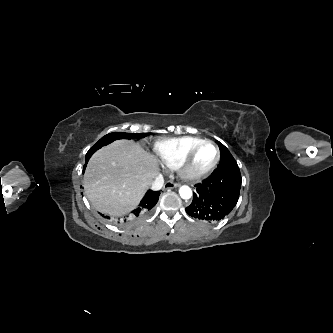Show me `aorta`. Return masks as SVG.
<instances>
[{"instance_id":"aorta-1","label":"aorta","mask_w":333,"mask_h":333,"mask_svg":"<svg viewBox=\"0 0 333 333\" xmlns=\"http://www.w3.org/2000/svg\"><path fill=\"white\" fill-rule=\"evenodd\" d=\"M179 193H180L181 198H183V199H190L192 196L191 188L188 186H185V185L180 187Z\"/></svg>"}]
</instances>
